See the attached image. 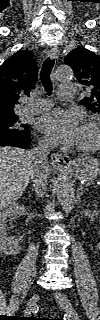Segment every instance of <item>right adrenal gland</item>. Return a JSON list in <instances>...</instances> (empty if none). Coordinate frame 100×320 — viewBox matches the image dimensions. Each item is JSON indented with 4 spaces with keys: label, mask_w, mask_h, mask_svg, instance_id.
<instances>
[{
    "label": "right adrenal gland",
    "mask_w": 100,
    "mask_h": 320,
    "mask_svg": "<svg viewBox=\"0 0 100 320\" xmlns=\"http://www.w3.org/2000/svg\"><path fill=\"white\" fill-rule=\"evenodd\" d=\"M32 192H34V188L32 187Z\"/></svg>",
    "instance_id": "right-adrenal-gland-1"
}]
</instances>
